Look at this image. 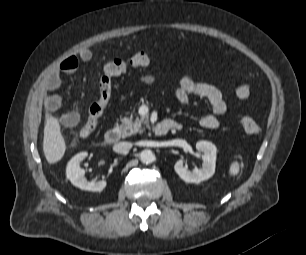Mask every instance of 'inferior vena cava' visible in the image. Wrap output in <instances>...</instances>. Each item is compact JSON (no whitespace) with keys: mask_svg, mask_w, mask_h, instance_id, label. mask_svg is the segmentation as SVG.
Returning <instances> with one entry per match:
<instances>
[{"mask_svg":"<svg viewBox=\"0 0 306 255\" xmlns=\"http://www.w3.org/2000/svg\"><path fill=\"white\" fill-rule=\"evenodd\" d=\"M132 148L130 142H119L114 145L113 150L117 153H126Z\"/></svg>","mask_w":306,"mask_h":255,"instance_id":"inferior-vena-cava-1","label":"inferior vena cava"}]
</instances>
